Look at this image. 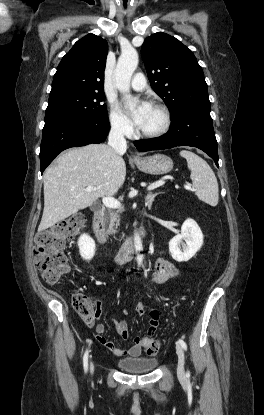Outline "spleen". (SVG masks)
I'll return each mask as SVG.
<instances>
[{
	"instance_id": "spleen-1",
	"label": "spleen",
	"mask_w": 264,
	"mask_h": 415,
	"mask_svg": "<svg viewBox=\"0 0 264 415\" xmlns=\"http://www.w3.org/2000/svg\"><path fill=\"white\" fill-rule=\"evenodd\" d=\"M180 155L187 160L188 168L191 171L190 177L198 199L210 206H216L219 199L218 182L211 167L204 159L191 151L182 150Z\"/></svg>"
}]
</instances>
